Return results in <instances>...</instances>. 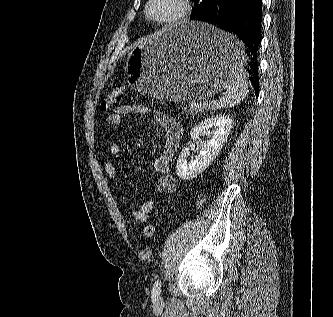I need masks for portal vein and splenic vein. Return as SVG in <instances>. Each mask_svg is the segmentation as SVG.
Segmentation results:
<instances>
[{
	"label": "portal vein and splenic vein",
	"mask_w": 333,
	"mask_h": 317,
	"mask_svg": "<svg viewBox=\"0 0 333 317\" xmlns=\"http://www.w3.org/2000/svg\"><path fill=\"white\" fill-rule=\"evenodd\" d=\"M191 105H196V103H195V102H192Z\"/></svg>",
	"instance_id": "1"
}]
</instances>
